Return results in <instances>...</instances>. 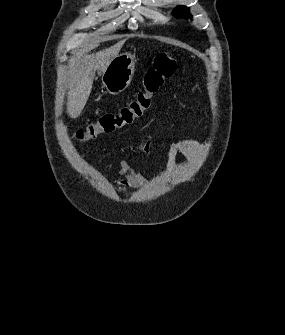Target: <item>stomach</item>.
Instances as JSON below:
<instances>
[{
    "mask_svg": "<svg viewBox=\"0 0 285 335\" xmlns=\"http://www.w3.org/2000/svg\"><path fill=\"white\" fill-rule=\"evenodd\" d=\"M135 72L134 56L119 54L102 74V84L109 94H120L131 84Z\"/></svg>",
    "mask_w": 285,
    "mask_h": 335,
    "instance_id": "stomach-1",
    "label": "stomach"
}]
</instances>
